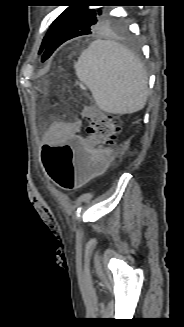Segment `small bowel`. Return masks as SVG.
I'll return each mask as SVG.
<instances>
[{
	"mask_svg": "<svg viewBox=\"0 0 184 327\" xmlns=\"http://www.w3.org/2000/svg\"><path fill=\"white\" fill-rule=\"evenodd\" d=\"M82 125L83 122L81 120H77L75 122H56L51 125L46 136V143H72L74 135H81L82 133ZM92 165H100L101 171H103L107 164H92ZM100 171V172H101ZM99 172H90V175L97 174Z\"/></svg>",
	"mask_w": 184,
	"mask_h": 327,
	"instance_id": "obj_1",
	"label": "small bowel"
}]
</instances>
